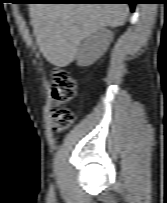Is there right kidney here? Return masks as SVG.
<instances>
[{"instance_id":"obj_1","label":"right kidney","mask_w":167,"mask_h":203,"mask_svg":"<svg viewBox=\"0 0 167 203\" xmlns=\"http://www.w3.org/2000/svg\"><path fill=\"white\" fill-rule=\"evenodd\" d=\"M112 39V32L105 28L90 35L78 51L77 64L79 66H89L93 64L105 53Z\"/></svg>"}]
</instances>
